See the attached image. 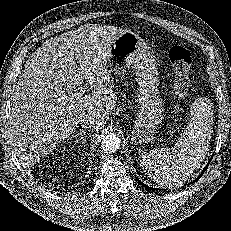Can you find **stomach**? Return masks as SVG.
<instances>
[{
    "instance_id": "1",
    "label": "stomach",
    "mask_w": 231,
    "mask_h": 231,
    "mask_svg": "<svg viewBox=\"0 0 231 231\" xmlns=\"http://www.w3.org/2000/svg\"><path fill=\"white\" fill-rule=\"evenodd\" d=\"M107 65L115 75L130 67L135 70L137 83V110L132 140L146 144L153 140L156 128L163 119V101L160 96L159 73L153 50L131 30L118 35L108 50Z\"/></svg>"
}]
</instances>
